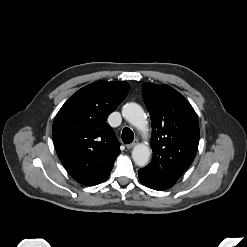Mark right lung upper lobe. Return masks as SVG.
Wrapping results in <instances>:
<instances>
[{
  "label": "right lung upper lobe",
  "instance_id": "1",
  "mask_svg": "<svg viewBox=\"0 0 247 247\" xmlns=\"http://www.w3.org/2000/svg\"><path fill=\"white\" fill-rule=\"evenodd\" d=\"M129 88L127 82H94L74 93L55 117L52 137L57 155L69 174L85 186L107 179L120 153L106 119Z\"/></svg>",
  "mask_w": 247,
  "mask_h": 247
}]
</instances>
